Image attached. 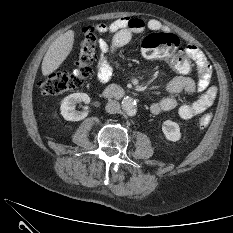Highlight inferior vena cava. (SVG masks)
<instances>
[{
    "label": "inferior vena cava",
    "instance_id": "1",
    "mask_svg": "<svg viewBox=\"0 0 233 233\" xmlns=\"http://www.w3.org/2000/svg\"><path fill=\"white\" fill-rule=\"evenodd\" d=\"M106 112L110 114L117 113L120 110V104L116 100H110L105 106Z\"/></svg>",
    "mask_w": 233,
    "mask_h": 233
}]
</instances>
